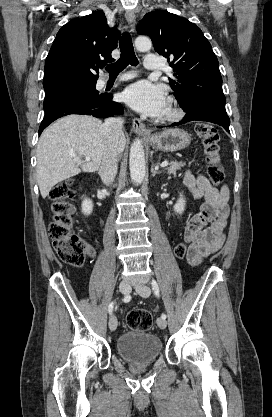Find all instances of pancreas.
Segmentation results:
<instances>
[{
  "label": "pancreas",
  "instance_id": "obj_1",
  "mask_svg": "<svg viewBox=\"0 0 272 417\" xmlns=\"http://www.w3.org/2000/svg\"><path fill=\"white\" fill-rule=\"evenodd\" d=\"M185 163L177 162V161H171L170 167L166 168L168 173L170 174H176V171L181 169V167H184Z\"/></svg>",
  "mask_w": 272,
  "mask_h": 417
}]
</instances>
